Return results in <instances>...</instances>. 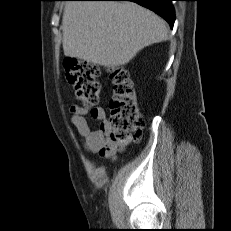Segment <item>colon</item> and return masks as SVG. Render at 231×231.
Masks as SVG:
<instances>
[{
	"instance_id": "5ec220e1",
	"label": "colon",
	"mask_w": 231,
	"mask_h": 231,
	"mask_svg": "<svg viewBox=\"0 0 231 231\" xmlns=\"http://www.w3.org/2000/svg\"><path fill=\"white\" fill-rule=\"evenodd\" d=\"M63 64L76 98L85 106L97 104L101 91L98 67L73 57L66 58ZM111 77L114 92L110 101V137L114 145L124 147L141 135L143 122L140 119L139 100L126 69H114Z\"/></svg>"
}]
</instances>
